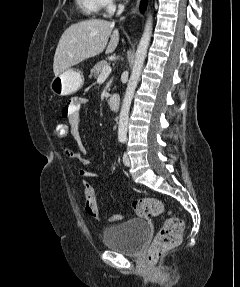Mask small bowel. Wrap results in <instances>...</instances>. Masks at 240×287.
Wrapping results in <instances>:
<instances>
[{"instance_id": "obj_1", "label": "small bowel", "mask_w": 240, "mask_h": 287, "mask_svg": "<svg viewBox=\"0 0 240 287\" xmlns=\"http://www.w3.org/2000/svg\"><path fill=\"white\" fill-rule=\"evenodd\" d=\"M87 102L88 100L84 97L74 96L63 106L61 110V118L67 121L71 126V134L75 144V150L68 152L64 147H62V149L73 163L82 166L80 169L81 176L84 178H100V173L86 168L92 166L93 163L87 156V149L78 130L80 110L82 106L87 104Z\"/></svg>"}]
</instances>
